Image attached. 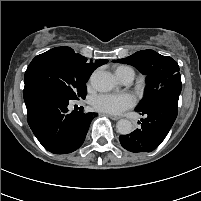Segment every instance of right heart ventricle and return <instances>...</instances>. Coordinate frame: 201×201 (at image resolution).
I'll use <instances>...</instances> for the list:
<instances>
[{
    "mask_svg": "<svg viewBox=\"0 0 201 201\" xmlns=\"http://www.w3.org/2000/svg\"><path fill=\"white\" fill-rule=\"evenodd\" d=\"M115 74L119 79H122L128 74H131L133 77L135 75L134 70L131 67L125 65L118 66L115 70Z\"/></svg>",
    "mask_w": 201,
    "mask_h": 201,
    "instance_id": "e07e8e85",
    "label": "right heart ventricle"
}]
</instances>
